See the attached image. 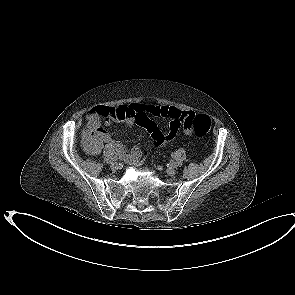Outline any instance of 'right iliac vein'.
<instances>
[{
  "label": "right iliac vein",
  "mask_w": 295,
  "mask_h": 295,
  "mask_svg": "<svg viewBox=\"0 0 295 295\" xmlns=\"http://www.w3.org/2000/svg\"><path fill=\"white\" fill-rule=\"evenodd\" d=\"M111 168L113 170H118L120 168V164L118 162H112L111 163Z\"/></svg>",
  "instance_id": "63e3f726"
}]
</instances>
